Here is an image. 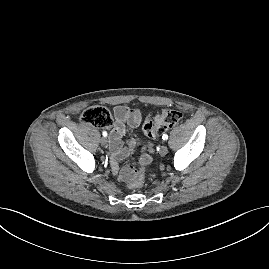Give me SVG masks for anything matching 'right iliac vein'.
<instances>
[{
	"label": "right iliac vein",
	"mask_w": 269,
	"mask_h": 269,
	"mask_svg": "<svg viewBox=\"0 0 269 269\" xmlns=\"http://www.w3.org/2000/svg\"><path fill=\"white\" fill-rule=\"evenodd\" d=\"M100 143H101L102 146H106L107 143H108L107 138L106 137L101 138Z\"/></svg>",
	"instance_id": "63e3f726"
}]
</instances>
